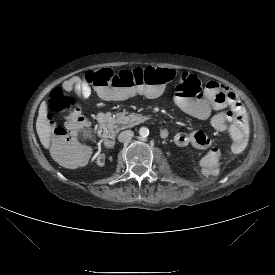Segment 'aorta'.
Masks as SVG:
<instances>
[{"label": "aorta", "mask_w": 275, "mask_h": 275, "mask_svg": "<svg viewBox=\"0 0 275 275\" xmlns=\"http://www.w3.org/2000/svg\"><path fill=\"white\" fill-rule=\"evenodd\" d=\"M139 135L142 137H147L149 135V130L146 127H141L139 129Z\"/></svg>", "instance_id": "1"}]
</instances>
